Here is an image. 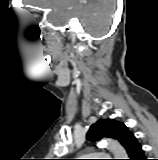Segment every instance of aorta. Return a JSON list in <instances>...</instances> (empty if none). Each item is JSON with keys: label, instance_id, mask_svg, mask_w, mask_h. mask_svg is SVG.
Instances as JSON below:
<instances>
[{"label": "aorta", "instance_id": "762f6f07", "mask_svg": "<svg viewBox=\"0 0 158 160\" xmlns=\"http://www.w3.org/2000/svg\"><path fill=\"white\" fill-rule=\"evenodd\" d=\"M103 144L111 151L114 159H127L128 155L124 147L114 139H106Z\"/></svg>", "mask_w": 158, "mask_h": 160}]
</instances>
